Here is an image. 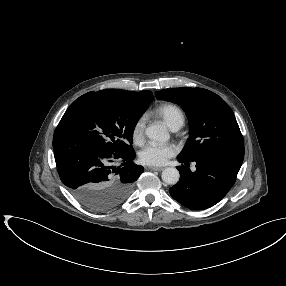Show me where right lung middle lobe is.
<instances>
[{
  "instance_id": "obj_1",
  "label": "right lung middle lobe",
  "mask_w": 286,
  "mask_h": 286,
  "mask_svg": "<svg viewBox=\"0 0 286 286\" xmlns=\"http://www.w3.org/2000/svg\"><path fill=\"white\" fill-rule=\"evenodd\" d=\"M147 107L109 93L88 92L69 106L60 122L106 153L121 154L133 151V131Z\"/></svg>"
}]
</instances>
